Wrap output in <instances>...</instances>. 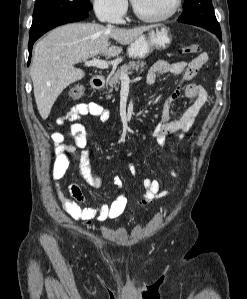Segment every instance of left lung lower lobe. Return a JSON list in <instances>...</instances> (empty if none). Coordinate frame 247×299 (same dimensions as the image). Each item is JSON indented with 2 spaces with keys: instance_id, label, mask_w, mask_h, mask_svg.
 <instances>
[{
  "instance_id": "0a47b994",
  "label": "left lung lower lobe",
  "mask_w": 247,
  "mask_h": 299,
  "mask_svg": "<svg viewBox=\"0 0 247 299\" xmlns=\"http://www.w3.org/2000/svg\"><path fill=\"white\" fill-rule=\"evenodd\" d=\"M182 23H186V24H191V25H195V26H199V27H202L214 34L217 35V37L219 38V40L221 41L222 40V37H221V29L220 28H216L214 26H210L202 21H196V20H187V21H183Z\"/></svg>"
}]
</instances>
